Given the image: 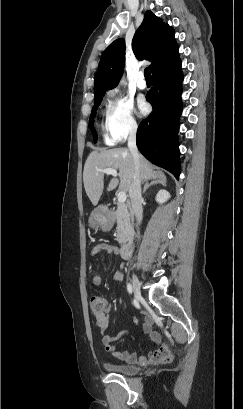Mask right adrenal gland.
Listing matches in <instances>:
<instances>
[{
  "mask_svg": "<svg viewBox=\"0 0 243 409\" xmlns=\"http://www.w3.org/2000/svg\"><path fill=\"white\" fill-rule=\"evenodd\" d=\"M156 184H161L162 186H166V180L165 179H157V180H153L150 183L146 182L144 189H143V193H146L147 190L151 187L154 186Z\"/></svg>",
  "mask_w": 243,
  "mask_h": 409,
  "instance_id": "obj_1",
  "label": "right adrenal gland"
}]
</instances>
